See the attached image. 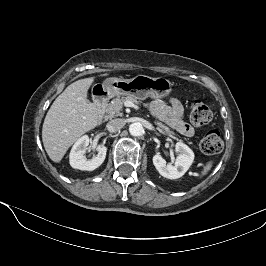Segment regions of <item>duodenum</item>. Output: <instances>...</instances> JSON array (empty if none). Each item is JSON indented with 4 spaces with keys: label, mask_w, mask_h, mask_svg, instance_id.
Here are the masks:
<instances>
[{
    "label": "duodenum",
    "mask_w": 266,
    "mask_h": 266,
    "mask_svg": "<svg viewBox=\"0 0 266 266\" xmlns=\"http://www.w3.org/2000/svg\"><path fill=\"white\" fill-rule=\"evenodd\" d=\"M108 95L109 93L105 89H99L94 93L93 100L96 107L98 121H100L103 116L104 109L108 100Z\"/></svg>",
    "instance_id": "1"
}]
</instances>
